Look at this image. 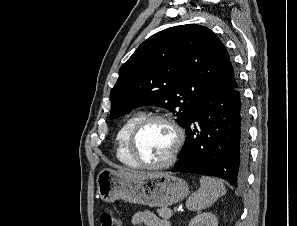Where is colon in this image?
I'll list each match as a JSON object with an SVG mask.
<instances>
[{"label":"colon","mask_w":297,"mask_h":226,"mask_svg":"<svg viewBox=\"0 0 297 226\" xmlns=\"http://www.w3.org/2000/svg\"><path fill=\"white\" fill-rule=\"evenodd\" d=\"M101 226H121L119 220L111 209H104L100 213Z\"/></svg>","instance_id":"obj_1"}]
</instances>
